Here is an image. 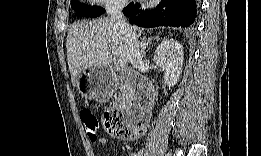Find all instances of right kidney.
<instances>
[{"label":"right kidney","mask_w":261,"mask_h":156,"mask_svg":"<svg viewBox=\"0 0 261 156\" xmlns=\"http://www.w3.org/2000/svg\"><path fill=\"white\" fill-rule=\"evenodd\" d=\"M153 60L165 70L164 83L169 88L176 85L183 69L182 45L172 38L163 40L156 48Z\"/></svg>","instance_id":"right-kidney-1"}]
</instances>
